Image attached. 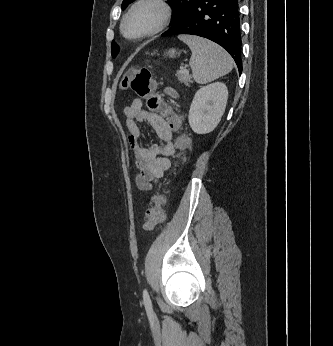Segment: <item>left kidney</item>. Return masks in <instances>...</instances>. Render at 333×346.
Masks as SVG:
<instances>
[{"mask_svg":"<svg viewBox=\"0 0 333 346\" xmlns=\"http://www.w3.org/2000/svg\"><path fill=\"white\" fill-rule=\"evenodd\" d=\"M228 99L227 86L215 82L201 87L193 98L189 110V125L197 134H207L219 124Z\"/></svg>","mask_w":333,"mask_h":346,"instance_id":"obj_1","label":"left kidney"}]
</instances>
